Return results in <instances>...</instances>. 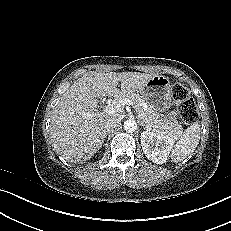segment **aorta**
<instances>
[{
	"label": "aorta",
	"mask_w": 231,
	"mask_h": 231,
	"mask_svg": "<svg viewBox=\"0 0 231 231\" xmlns=\"http://www.w3.org/2000/svg\"><path fill=\"white\" fill-rule=\"evenodd\" d=\"M124 130L128 133H133L137 130V123L133 119H128L123 124Z\"/></svg>",
	"instance_id": "1"
}]
</instances>
